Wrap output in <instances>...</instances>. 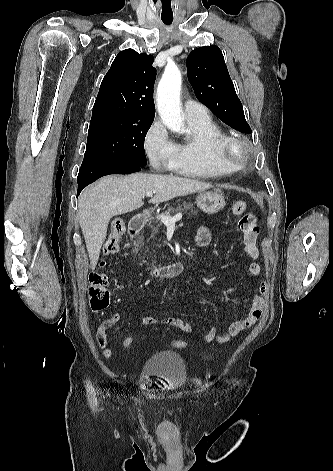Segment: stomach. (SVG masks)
<instances>
[{"label":"stomach","mask_w":333,"mask_h":471,"mask_svg":"<svg viewBox=\"0 0 333 471\" xmlns=\"http://www.w3.org/2000/svg\"><path fill=\"white\" fill-rule=\"evenodd\" d=\"M196 204L203 212L214 214L222 210L225 205V198L218 192H204L196 197Z\"/></svg>","instance_id":"stomach-1"}]
</instances>
